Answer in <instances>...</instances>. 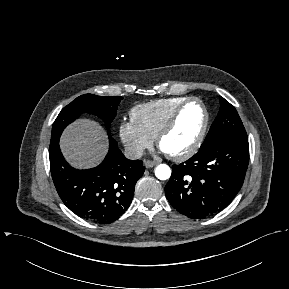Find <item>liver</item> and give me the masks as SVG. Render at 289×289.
Listing matches in <instances>:
<instances>
[{
    "label": "liver",
    "mask_w": 289,
    "mask_h": 289,
    "mask_svg": "<svg viewBox=\"0 0 289 289\" xmlns=\"http://www.w3.org/2000/svg\"><path fill=\"white\" fill-rule=\"evenodd\" d=\"M60 147L72 166L91 168L98 165L108 151L107 134L97 122L79 119L65 129Z\"/></svg>",
    "instance_id": "liver-1"
}]
</instances>
